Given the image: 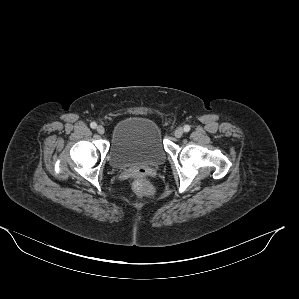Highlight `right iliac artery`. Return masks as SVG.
<instances>
[{
    "label": "right iliac artery",
    "instance_id": "obj_1",
    "mask_svg": "<svg viewBox=\"0 0 299 299\" xmlns=\"http://www.w3.org/2000/svg\"><path fill=\"white\" fill-rule=\"evenodd\" d=\"M90 127H91L92 129H95V128L97 127V124H96L95 122H92V123L90 124Z\"/></svg>",
    "mask_w": 299,
    "mask_h": 299
}]
</instances>
